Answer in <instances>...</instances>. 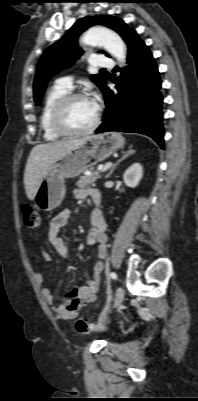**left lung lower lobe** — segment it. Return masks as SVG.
<instances>
[{"instance_id": "left-lung-lower-lobe-1", "label": "left lung lower lobe", "mask_w": 198, "mask_h": 401, "mask_svg": "<svg viewBox=\"0 0 198 401\" xmlns=\"http://www.w3.org/2000/svg\"><path fill=\"white\" fill-rule=\"evenodd\" d=\"M129 64L113 82L102 89L107 106L103 123L95 131L137 132L152 137L163 148L161 81L149 48L132 30L126 40Z\"/></svg>"}]
</instances>
